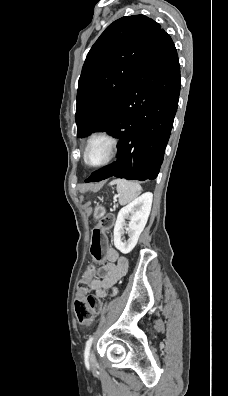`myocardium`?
<instances>
[{
  "mask_svg": "<svg viewBox=\"0 0 228 396\" xmlns=\"http://www.w3.org/2000/svg\"><path fill=\"white\" fill-rule=\"evenodd\" d=\"M96 139H103L108 143V153L105 159L99 163H91L88 160V149L91 145V143L96 140ZM117 148H118V140L114 135L107 131H98L96 133H93L86 142L84 152H83V158L85 163L92 168H100L108 165L116 156L117 153Z\"/></svg>",
  "mask_w": 228,
  "mask_h": 396,
  "instance_id": "1",
  "label": "myocardium"
}]
</instances>
